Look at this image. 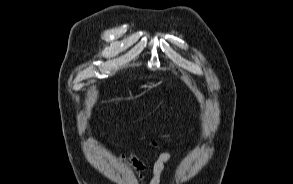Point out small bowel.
I'll return each mask as SVG.
<instances>
[{
  "label": "small bowel",
  "instance_id": "small-bowel-1",
  "mask_svg": "<svg viewBox=\"0 0 293 184\" xmlns=\"http://www.w3.org/2000/svg\"><path fill=\"white\" fill-rule=\"evenodd\" d=\"M152 145L155 148H158V144L156 142H153ZM121 159L122 161L129 162L131 164L132 169L141 183L146 181V173L150 170L151 178L149 180V184H160L165 165L173 158L169 152L160 151L150 169L144 162L137 159L133 153L123 154Z\"/></svg>",
  "mask_w": 293,
  "mask_h": 184
}]
</instances>
